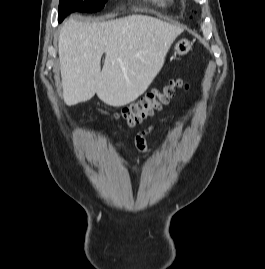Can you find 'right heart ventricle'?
I'll return each instance as SVG.
<instances>
[{
  "label": "right heart ventricle",
  "mask_w": 265,
  "mask_h": 269,
  "mask_svg": "<svg viewBox=\"0 0 265 269\" xmlns=\"http://www.w3.org/2000/svg\"><path fill=\"white\" fill-rule=\"evenodd\" d=\"M154 3H156L157 5L161 6V7H167L172 5L173 0H151Z\"/></svg>",
  "instance_id": "e07e8e85"
}]
</instances>
